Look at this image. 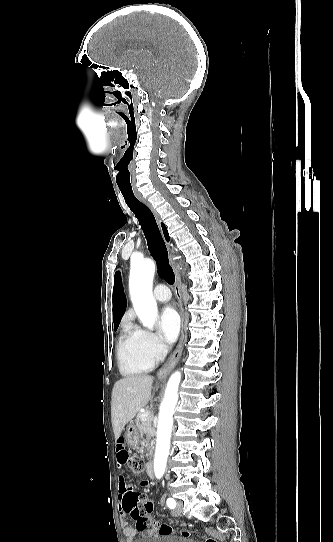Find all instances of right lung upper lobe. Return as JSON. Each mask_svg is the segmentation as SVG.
Returning <instances> with one entry per match:
<instances>
[{
  "mask_svg": "<svg viewBox=\"0 0 333 542\" xmlns=\"http://www.w3.org/2000/svg\"><path fill=\"white\" fill-rule=\"evenodd\" d=\"M163 232L166 240H169L168 232L164 224H162ZM126 309V297L123 291V286L120 278V273L116 272L114 277L113 289V322L114 326H119L121 318Z\"/></svg>",
  "mask_w": 333,
  "mask_h": 542,
  "instance_id": "right-lung-upper-lobe-1",
  "label": "right lung upper lobe"
}]
</instances>
